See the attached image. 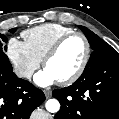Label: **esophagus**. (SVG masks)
<instances>
[{
	"label": "esophagus",
	"mask_w": 119,
	"mask_h": 119,
	"mask_svg": "<svg viewBox=\"0 0 119 119\" xmlns=\"http://www.w3.org/2000/svg\"><path fill=\"white\" fill-rule=\"evenodd\" d=\"M44 94H45L46 98H50L51 97V90L45 89Z\"/></svg>",
	"instance_id": "1"
}]
</instances>
